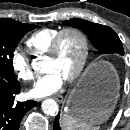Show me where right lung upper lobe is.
<instances>
[{
    "instance_id": "1",
    "label": "right lung upper lobe",
    "mask_w": 130,
    "mask_h": 130,
    "mask_svg": "<svg viewBox=\"0 0 130 130\" xmlns=\"http://www.w3.org/2000/svg\"><path fill=\"white\" fill-rule=\"evenodd\" d=\"M1 20V19H0ZM2 20H7V21H10V22H17L15 20H12V19H6V18H2Z\"/></svg>"
}]
</instances>
